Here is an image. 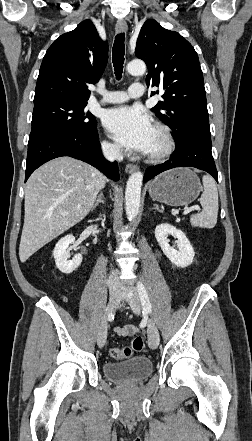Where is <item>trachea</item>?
<instances>
[{
    "label": "trachea",
    "instance_id": "obj_1",
    "mask_svg": "<svg viewBox=\"0 0 252 441\" xmlns=\"http://www.w3.org/2000/svg\"><path fill=\"white\" fill-rule=\"evenodd\" d=\"M125 35L124 33H119L115 37L113 51H112V62L114 66V71L116 78L118 80L122 77L123 64H124V54H125Z\"/></svg>",
    "mask_w": 252,
    "mask_h": 441
}]
</instances>
